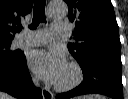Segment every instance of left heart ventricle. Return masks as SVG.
Returning a JSON list of instances; mask_svg holds the SVG:
<instances>
[{"instance_id": "left-heart-ventricle-1", "label": "left heart ventricle", "mask_w": 128, "mask_h": 99, "mask_svg": "<svg viewBox=\"0 0 128 99\" xmlns=\"http://www.w3.org/2000/svg\"><path fill=\"white\" fill-rule=\"evenodd\" d=\"M73 77H74V73H73L72 69L69 66H67L65 71L63 72L61 78L59 79V81L57 83L67 84L72 81Z\"/></svg>"}]
</instances>
